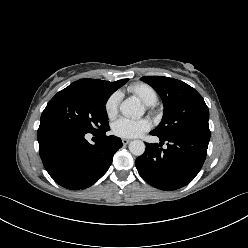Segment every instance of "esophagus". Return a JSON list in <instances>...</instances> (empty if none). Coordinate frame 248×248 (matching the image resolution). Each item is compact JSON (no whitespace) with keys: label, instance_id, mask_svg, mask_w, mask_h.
Segmentation results:
<instances>
[{"label":"esophagus","instance_id":"34e87169","mask_svg":"<svg viewBox=\"0 0 248 248\" xmlns=\"http://www.w3.org/2000/svg\"><path fill=\"white\" fill-rule=\"evenodd\" d=\"M130 141H131L130 139H126V138H123V139H122V143H123L124 145H127Z\"/></svg>","mask_w":248,"mask_h":248}]
</instances>
